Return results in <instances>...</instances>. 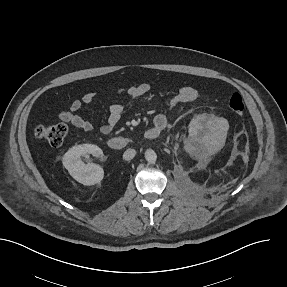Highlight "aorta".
Listing matches in <instances>:
<instances>
[{"mask_svg":"<svg viewBox=\"0 0 287 287\" xmlns=\"http://www.w3.org/2000/svg\"><path fill=\"white\" fill-rule=\"evenodd\" d=\"M145 159L149 162V163H155L157 160V154L155 153L154 150L152 149H148L145 152Z\"/></svg>","mask_w":287,"mask_h":287,"instance_id":"obj_1","label":"aorta"}]
</instances>
